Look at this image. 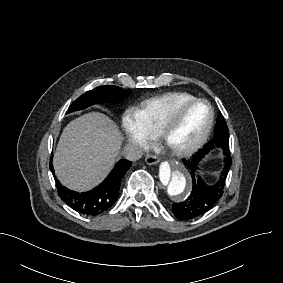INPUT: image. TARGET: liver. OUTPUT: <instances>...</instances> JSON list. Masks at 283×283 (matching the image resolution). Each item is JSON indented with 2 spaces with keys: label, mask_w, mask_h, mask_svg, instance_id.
<instances>
[{
  "label": "liver",
  "mask_w": 283,
  "mask_h": 283,
  "mask_svg": "<svg viewBox=\"0 0 283 283\" xmlns=\"http://www.w3.org/2000/svg\"><path fill=\"white\" fill-rule=\"evenodd\" d=\"M121 141L115 123L100 113L70 122L55 152L54 168L60 182L78 191L93 188L112 169Z\"/></svg>",
  "instance_id": "obj_1"
}]
</instances>
